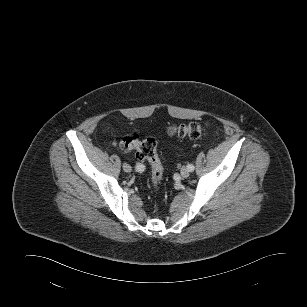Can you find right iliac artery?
I'll return each mask as SVG.
<instances>
[{"mask_svg":"<svg viewBox=\"0 0 307 307\" xmlns=\"http://www.w3.org/2000/svg\"><path fill=\"white\" fill-rule=\"evenodd\" d=\"M135 169H136L137 172H142V171H144L145 166L142 165V164H137V165L135 166Z\"/></svg>","mask_w":307,"mask_h":307,"instance_id":"82829eb1","label":"right iliac artery"}]
</instances>
